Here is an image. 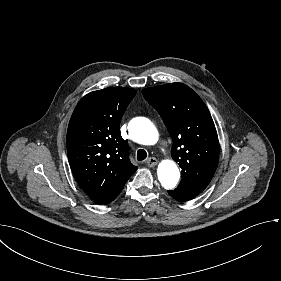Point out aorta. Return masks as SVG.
I'll list each match as a JSON object with an SVG mask.
<instances>
[{"label": "aorta", "mask_w": 281, "mask_h": 281, "mask_svg": "<svg viewBox=\"0 0 281 281\" xmlns=\"http://www.w3.org/2000/svg\"><path fill=\"white\" fill-rule=\"evenodd\" d=\"M132 139L143 145H154L158 141V131L147 118H136L129 124ZM158 179L165 189H173L180 178V172L172 160H163L158 165Z\"/></svg>", "instance_id": "obj_1"}]
</instances>
